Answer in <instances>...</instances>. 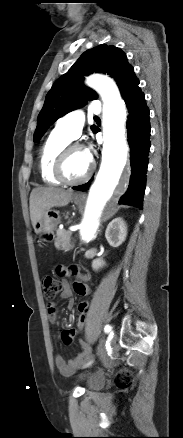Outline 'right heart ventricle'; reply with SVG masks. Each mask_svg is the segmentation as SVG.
Returning a JSON list of instances; mask_svg holds the SVG:
<instances>
[{"label":"right heart ventricle","mask_w":183,"mask_h":438,"mask_svg":"<svg viewBox=\"0 0 183 438\" xmlns=\"http://www.w3.org/2000/svg\"><path fill=\"white\" fill-rule=\"evenodd\" d=\"M71 139L54 129L45 140L39 155V168L42 180L48 185H59L53 176V167L59 152L70 143Z\"/></svg>","instance_id":"obj_1"}]
</instances>
